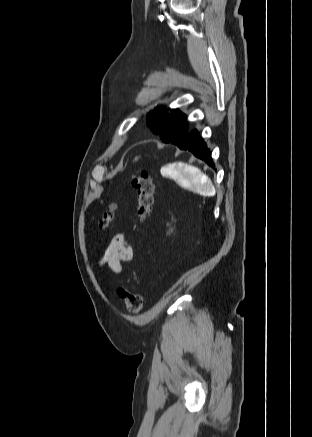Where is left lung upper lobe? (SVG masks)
<instances>
[{"label": "left lung upper lobe", "instance_id": "5c2ea615", "mask_svg": "<svg viewBox=\"0 0 312 437\" xmlns=\"http://www.w3.org/2000/svg\"><path fill=\"white\" fill-rule=\"evenodd\" d=\"M167 109H154L147 114V124L155 134H159L164 143L175 142L186 136L188 124L179 110L166 112Z\"/></svg>", "mask_w": 312, "mask_h": 437}]
</instances>
